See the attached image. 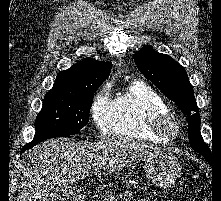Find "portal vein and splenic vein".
I'll return each instance as SVG.
<instances>
[{"label":"portal vein and splenic vein","mask_w":221,"mask_h":201,"mask_svg":"<svg viewBox=\"0 0 221 201\" xmlns=\"http://www.w3.org/2000/svg\"><path fill=\"white\" fill-rule=\"evenodd\" d=\"M99 170H100V167L95 168V171H96V172L99 171ZM123 195H124V196H131L132 193L129 192V191H125V193L122 194V195H120V197H122ZM113 199H115V197H112V198L110 199V201H112ZM107 201H109V199H108Z\"/></svg>","instance_id":"1"}]
</instances>
